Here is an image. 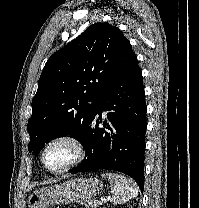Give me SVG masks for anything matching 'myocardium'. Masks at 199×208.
I'll return each instance as SVG.
<instances>
[{
	"label": "myocardium",
	"mask_w": 199,
	"mask_h": 208,
	"mask_svg": "<svg viewBox=\"0 0 199 208\" xmlns=\"http://www.w3.org/2000/svg\"><path fill=\"white\" fill-rule=\"evenodd\" d=\"M61 141L69 142L70 144L73 145V147L75 148V156L66 165L59 167V168H51L47 165V162L45 159L46 151L51 145H53L56 142H61ZM86 154H87V151H86L85 144L79 137L71 133H64V134H60V135H56L52 137L50 140H48L45 143L41 152V162L48 171L55 173V174H60V173H65L71 170L72 168L76 167L77 165H79L85 159Z\"/></svg>",
	"instance_id": "obj_1"
}]
</instances>
